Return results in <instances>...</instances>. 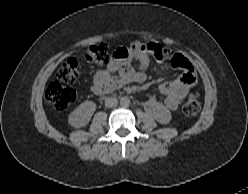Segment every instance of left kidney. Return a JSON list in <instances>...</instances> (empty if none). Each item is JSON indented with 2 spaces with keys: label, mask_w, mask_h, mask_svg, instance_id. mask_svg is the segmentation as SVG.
I'll return each instance as SVG.
<instances>
[{
  "label": "left kidney",
  "mask_w": 248,
  "mask_h": 194,
  "mask_svg": "<svg viewBox=\"0 0 248 194\" xmlns=\"http://www.w3.org/2000/svg\"><path fill=\"white\" fill-rule=\"evenodd\" d=\"M158 112H154V118L162 124H167L171 120L170 111L163 106L162 104H158L157 106Z\"/></svg>",
  "instance_id": "obj_1"
}]
</instances>
